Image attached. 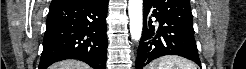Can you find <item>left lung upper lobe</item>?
<instances>
[{
	"label": "left lung upper lobe",
	"instance_id": "5c2ea615",
	"mask_svg": "<svg viewBox=\"0 0 246 69\" xmlns=\"http://www.w3.org/2000/svg\"><path fill=\"white\" fill-rule=\"evenodd\" d=\"M162 13L186 23L193 24L189 0H152Z\"/></svg>",
	"mask_w": 246,
	"mask_h": 69
}]
</instances>
